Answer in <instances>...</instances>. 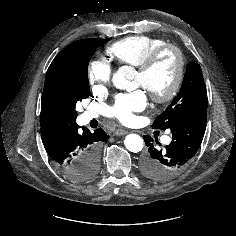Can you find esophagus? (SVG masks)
<instances>
[{"label": "esophagus", "mask_w": 236, "mask_h": 236, "mask_svg": "<svg viewBox=\"0 0 236 236\" xmlns=\"http://www.w3.org/2000/svg\"><path fill=\"white\" fill-rule=\"evenodd\" d=\"M127 133L128 132L124 129H117V130L114 131V135H116V136L125 135Z\"/></svg>", "instance_id": "34e87169"}]
</instances>
